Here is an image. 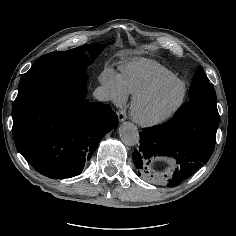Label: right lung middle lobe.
<instances>
[{
  "label": "right lung middle lobe",
  "instance_id": "1",
  "mask_svg": "<svg viewBox=\"0 0 236 236\" xmlns=\"http://www.w3.org/2000/svg\"><path fill=\"white\" fill-rule=\"evenodd\" d=\"M104 48L105 45L103 44H88L85 45V49L74 48L69 51L52 52L42 56L28 72L22 75L18 93L33 84L85 70L89 65L88 53L94 59Z\"/></svg>",
  "mask_w": 236,
  "mask_h": 236
}]
</instances>
